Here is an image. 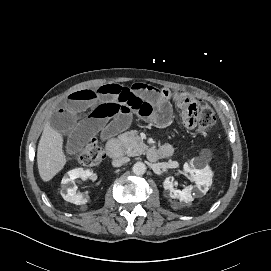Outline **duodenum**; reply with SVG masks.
Instances as JSON below:
<instances>
[{
    "mask_svg": "<svg viewBox=\"0 0 271 271\" xmlns=\"http://www.w3.org/2000/svg\"><path fill=\"white\" fill-rule=\"evenodd\" d=\"M106 152H107L108 156L112 159H119L122 157L123 153H122L121 145L115 137H111L107 141ZM163 154H164V152L162 150H158V149H151L150 150V155L154 158L155 157L159 158V157L163 156Z\"/></svg>",
    "mask_w": 271,
    "mask_h": 271,
    "instance_id": "obj_1",
    "label": "duodenum"
}]
</instances>
